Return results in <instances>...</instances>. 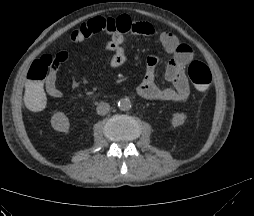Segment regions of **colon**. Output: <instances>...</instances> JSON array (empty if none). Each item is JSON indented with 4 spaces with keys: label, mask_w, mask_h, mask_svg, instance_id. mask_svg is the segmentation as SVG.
Listing matches in <instances>:
<instances>
[{
    "label": "colon",
    "mask_w": 254,
    "mask_h": 216,
    "mask_svg": "<svg viewBox=\"0 0 254 216\" xmlns=\"http://www.w3.org/2000/svg\"><path fill=\"white\" fill-rule=\"evenodd\" d=\"M60 63L58 54L45 55L33 62L27 74L26 85L21 90L22 103L28 111L39 113L47 107L49 96L43 89V83L49 71L57 70ZM187 73L198 91L208 90L212 81V73L205 63L199 60L191 61Z\"/></svg>",
    "instance_id": "obj_1"
}]
</instances>
